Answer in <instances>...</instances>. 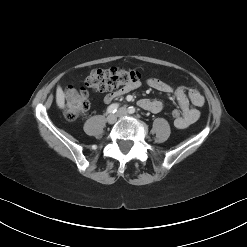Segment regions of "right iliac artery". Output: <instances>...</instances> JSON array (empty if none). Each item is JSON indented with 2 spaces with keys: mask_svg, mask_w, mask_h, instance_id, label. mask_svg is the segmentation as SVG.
<instances>
[{
  "mask_svg": "<svg viewBox=\"0 0 247 247\" xmlns=\"http://www.w3.org/2000/svg\"><path fill=\"white\" fill-rule=\"evenodd\" d=\"M119 105L117 103L111 104L108 108H107V113H115L118 109Z\"/></svg>",
  "mask_w": 247,
  "mask_h": 247,
  "instance_id": "1",
  "label": "right iliac artery"
}]
</instances>
